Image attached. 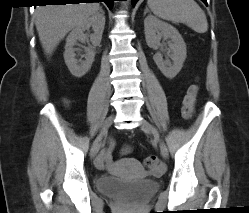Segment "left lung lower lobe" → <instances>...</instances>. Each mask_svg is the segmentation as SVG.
<instances>
[{"instance_id":"1","label":"left lung lower lobe","mask_w":249,"mask_h":213,"mask_svg":"<svg viewBox=\"0 0 249 213\" xmlns=\"http://www.w3.org/2000/svg\"><path fill=\"white\" fill-rule=\"evenodd\" d=\"M137 1H138V0H132V6H134V5L136 4ZM202 1L207 5L206 0H202Z\"/></svg>"}]
</instances>
